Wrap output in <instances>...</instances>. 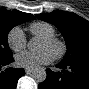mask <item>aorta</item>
Here are the masks:
<instances>
[{
	"instance_id": "obj_1",
	"label": "aorta",
	"mask_w": 89,
	"mask_h": 89,
	"mask_svg": "<svg viewBox=\"0 0 89 89\" xmlns=\"http://www.w3.org/2000/svg\"><path fill=\"white\" fill-rule=\"evenodd\" d=\"M27 47L31 51L35 50L37 48L36 40L31 39L29 41ZM32 77L36 82L41 83V82L45 81V79L47 77V73H46L45 69H43V68H36L32 73Z\"/></svg>"
}]
</instances>
